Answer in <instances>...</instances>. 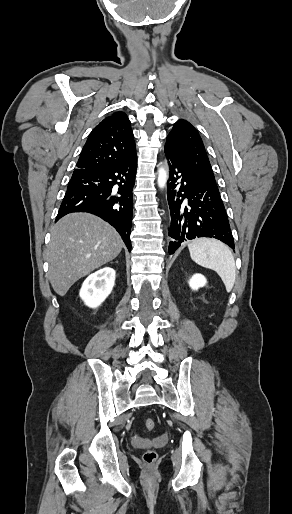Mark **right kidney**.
Instances as JSON below:
<instances>
[{
	"label": "right kidney",
	"instance_id": "right-kidney-1",
	"mask_svg": "<svg viewBox=\"0 0 292 514\" xmlns=\"http://www.w3.org/2000/svg\"><path fill=\"white\" fill-rule=\"evenodd\" d=\"M115 284V270L102 268L95 274H90L82 284L80 298L89 308H98L107 296L111 294Z\"/></svg>",
	"mask_w": 292,
	"mask_h": 514
}]
</instances>
